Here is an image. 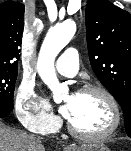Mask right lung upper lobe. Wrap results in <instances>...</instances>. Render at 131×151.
Returning a JSON list of instances; mask_svg holds the SVG:
<instances>
[{
    "label": "right lung upper lobe",
    "mask_w": 131,
    "mask_h": 151,
    "mask_svg": "<svg viewBox=\"0 0 131 151\" xmlns=\"http://www.w3.org/2000/svg\"><path fill=\"white\" fill-rule=\"evenodd\" d=\"M24 28V5L0 4V68H17Z\"/></svg>",
    "instance_id": "right-lung-upper-lobe-1"
}]
</instances>
